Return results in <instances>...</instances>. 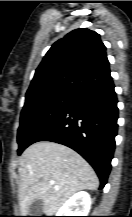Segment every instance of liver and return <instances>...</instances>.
Returning <instances> with one entry per match:
<instances>
[{"instance_id": "1", "label": "liver", "mask_w": 132, "mask_h": 217, "mask_svg": "<svg viewBox=\"0 0 132 217\" xmlns=\"http://www.w3.org/2000/svg\"><path fill=\"white\" fill-rule=\"evenodd\" d=\"M19 175L22 216L29 214V207L36 199L43 201V212L53 216L76 192L96 190L99 186L88 162L71 148L55 142L29 146L19 160Z\"/></svg>"}]
</instances>
